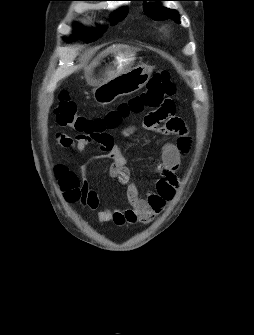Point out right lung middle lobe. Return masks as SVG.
<instances>
[{
	"label": "right lung middle lobe",
	"mask_w": 254,
	"mask_h": 335,
	"mask_svg": "<svg viewBox=\"0 0 254 335\" xmlns=\"http://www.w3.org/2000/svg\"><path fill=\"white\" fill-rule=\"evenodd\" d=\"M126 16V11L125 9H120L118 11H116L113 16L111 17V25H115L118 21H121L122 19H124ZM77 30L81 31L80 26H76ZM86 40L89 41H94L96 38V35L91 33L88 35H85Z\"/></svg>",
	"instance_id": "obj_1"
}]
</instances>
